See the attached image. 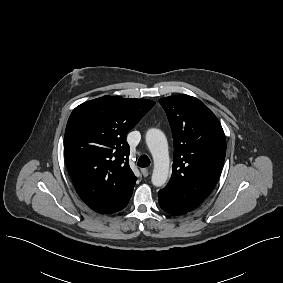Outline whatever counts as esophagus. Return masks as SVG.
Wrapping results in <instances>:
<instances>
[{
  "label": "esophagus",
  "instance_id": "esophagus-1",
  "mask_svg": "<svg viewBox=\"0 0 283 283\" xmlns=\"http://www.w3.org/2000/svg\"><path fill=\"white\" fill-rule=\"evenodd\" d=\"M140 171L144 177L149 175V170L147 168H141Z\"/></svg>",
  "mask_w": 283,
  "mask_h": 283
}]
</instances>
